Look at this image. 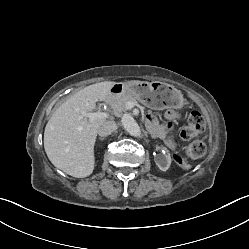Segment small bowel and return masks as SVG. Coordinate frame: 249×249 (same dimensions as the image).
Listing matches in <instances>:
<instances>
[{
    "label": "small bowel",
    "mask_w": 249,
    "mask_h": 249,
    "mask_svg": "<svg viewBox=\"0 0 249 249\" xmlns=\"http://www.w3.org/2000/svg\"><path fill=\"white\" fill-rule=\"evenodd\" d=\"M175 117V115L172 113V112H168L167 114H166V118L168 119V120H172L173 118ZM149 122L151 123V124H153L154 123V117H153V115H149ZM171 125V123L169 122L168 123V126H170Z\"/></svg>",
    "instance_id": "small-bowel-1"
}]
</instances>
